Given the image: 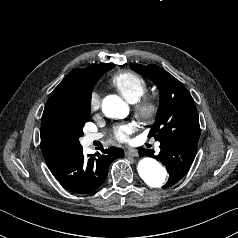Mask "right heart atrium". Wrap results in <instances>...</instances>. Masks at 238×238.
<instances>
[{
	"label": "right heart atrium",
	"instance_id": "d8ad5b80",
	"mask_svg": "<svg viewBox=\"0 0 238 238\" xmlns=\"http://www.w3.org/2000/svg\"><path fill=\"white\" fill-rule=\"evenodd\" d=\"M89 106L91 111H95L99 108L100 106V97L98 93L92 92L90 97H89Z\"/></svg>",
	"mask_w": 238,
	"mask_h": 238
}]
</instances>
